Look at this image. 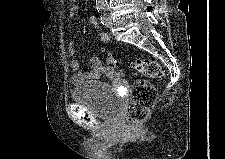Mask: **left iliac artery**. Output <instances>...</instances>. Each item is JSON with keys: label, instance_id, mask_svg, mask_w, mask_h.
I'll return each instance as SVG.
<instances>
[{"label": "left iliac artery", "instance_id": "left-iliac-artery-1", "mask_svg": "<svg viewBox=\"0 0 225 159\" xmlns=\"http://www.w3.org/2000/svg\"><path fill=\"white\" fill-rule=\"evenodd\" d=\"M99 13L101 14V23L103 25L107 24V20H108V15H107V8H103L99 11Z\"/></svg>", "mask_w": 225, "mask_h": 159}]
</instances>
